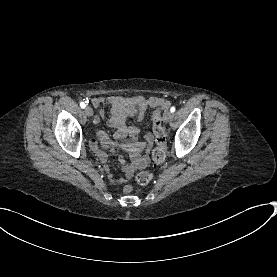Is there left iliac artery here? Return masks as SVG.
Returning <instances> with one entry per match:
<instances>
[{"label": "left iliac artery", "mask_w": 277, "mask_h": 277, "mask_svg": "<svg viewBox=\"0 0 277 277\" xmlns=\"http://www.w3.org/2000/svg\"><path fill=\"white\" fill-rule=\"evenodd\" d=\"M170 111H171L172 113L175 112V107H174V106L171 107Z\"/></svg>", "instance_id": "44dca946"}]
</instances>
